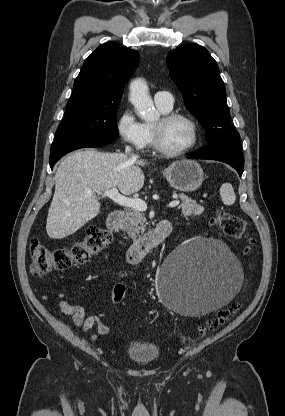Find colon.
Masks as SVG:
<instances>
[{
    "mask_svg": "<svg viewBox=\"0 0 285 416\" xmlns=\"http://www.w3.org/2000/svg\"><path fill=\"white\" fill-rule=\"evenodd\" d=\"M226 235L240 239H246V253L251 251L254 239L247 235L246 222L233 214L219 211L215 218ZM112 240L111 234L97 226L87 228L84 237L69 247H47L37 238L30 243L31 271L38 277L45 276L51 271H62L71 266L87 262L93 255L102 251ZM126 296V288L123 284H117L112 292V300L120 304ZM239 310V304L234 303L227 309H223L206 325L202 326L203 332L212 331L225 324Z\"/></svg>",
    "mask_w": 285,
    "mask_h": 416,
    "instance_id": "obj_1",
    "label": "colon"
}]
</instances>
